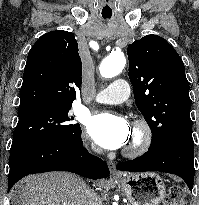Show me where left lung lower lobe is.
<instances>
[{
	"label": "left lung lower lobe",
	"mask_w": 199,
	"mask_h": 205,
	"mask_svg": "<svg viewBox=\"0 0 199 205\" xmlns=\"http://www.w3.org/2000/svg\"><path fill=\"white\" fill-rule=\"evenodd\" d=\"M118 170L130 172L160 171L180 176L192 191L194 182V141L179 135L158 148H149L141 157L121 162Z\"/></svg>",
	"instance_id": "left-lung-lower-lobe-1"
}]
</instances>
